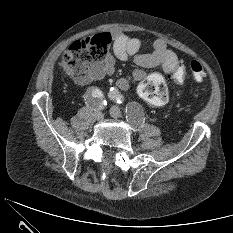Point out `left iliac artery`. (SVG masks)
<instances>
[{"instance_id":"left-iliac-artery-1","label":"left iliac artery","mask_w":233,"mask_h":233,"mask_svg":"<svg viewBox=\"0 0 233 233\" xmlns=\"http://www.w3.org/2000/svg\"><path fill=\"white\" fill-rule=\"evenodd\" d=\"M109 98L118 104L123 102V96L120 94L117 88H111L109 93Z\"/></svg>"}]
</instances>
